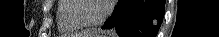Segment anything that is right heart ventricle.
Instances as JSON below:
<instances>
[{"label": "right heart ventricle", "mask_w": 219, "mask_h": 37, "mask_svg": "<svg viewBox=\"0 0 219 37\" xmlns=\"http://www.w3.org/2000/svg\"><path fill=\"white\" fill-rule=\"evenodd\" d=\"M72 0H59L56 5L57 23L61 33H70L82 29L71 17Z\"/></svg>", "instance_id": "obj_1"}]
</instances>
